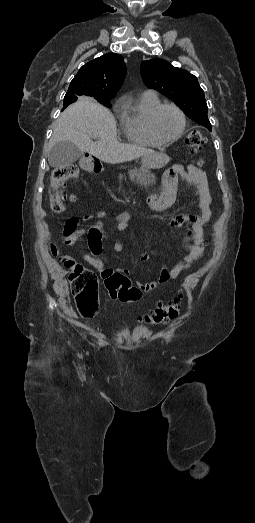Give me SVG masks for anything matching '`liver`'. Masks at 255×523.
Returning <instances> with one entry per match:
<instances>
[{
    "instance_id": "1",
    "label": "liver",
    "mask_w": 255,
    "mask_h": 523,
    "mask_svg": "<svg viewBox=\"0 0 255 523\" xmlns=\"http://www.w3.org/2000/svg\"><path fill=\"white\" fill-rule=\"evenodd\" d=\"M99 140V142H92ZM56 142H73L81 152H88L106 164H123L144 156L149 162L156 152L132 144H120L113 114L92 98H80L60 114L49 140L48 152ZM158 168L169 162L166 154H156Z\"/></svg>"
}]
</instances>
